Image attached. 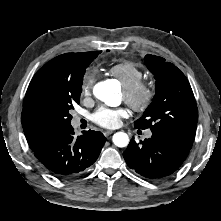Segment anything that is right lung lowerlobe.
<instances>
[{
    "mask_svg": "<svg viewBox=\"0 0 221 221\" xmlns=\"http://www.w3.org/2000/svg\"><path fill=\"white\" fill-rule=\"evenodd\" d=\"M105 136L101 132L83 131L75 136L71 125L62 127L32 151L44 169L57 178L82 174L98 158Z\"/></svg>",
    "mask_w": 221,
    "mask_h": 221,
    "instance_id": "obj_1",
    "label": "right lung lower lobe"
}]
</instances>
